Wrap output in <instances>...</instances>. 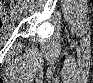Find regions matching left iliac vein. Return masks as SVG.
<instances>
[{
    "mask_svg": "<svg viewBox=\"0 0 93 83\" xmlns=\"http://www.w3.org/2000/svg\"><path fill=\"white\" fill-rule=\"evenodd\" d=\"M23 12H24V13H27V9H26V8H24V9H23Z\"/></svg>",
    "mask_w": 93,
    "mask_h": 83,
    "instance_id": "4c4485c4",
    "label": "left iliac vein"
}]
</instances>
